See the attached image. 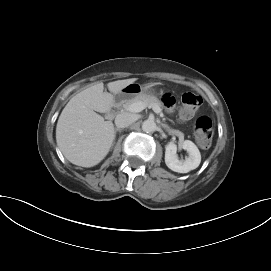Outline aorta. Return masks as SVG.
I'll use <instances>...</instances> for the list:
<instances>
[{"mask_svg": "<svg viewBox=\"0 0 271 271\" xmlns=\"http://www.w3.org/2000/svg\"><path fill=\"white\" fill-rule=\"evenodd\" d=\"M142 130L146 133H153L156 130V123L153 120H145L142 123Z\"/></svg>", "mask_w": 271, "mask_h": 271, "instance_id": "obj_1", "label": "aorta"}]
</instances>
